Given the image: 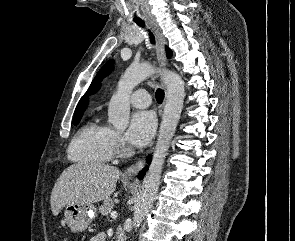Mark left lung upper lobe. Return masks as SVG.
<instances>
[{"instance_id":"left-lung-upper-lobe-1","label":"left lung upper lobe","mask_w":295,"mask_h":241,"mask_svg":"<svg viewBox=\"0 0 295 241\" xmlns=\"http://www.w3.org/2000/svg\"><path fill=\"white\" fill-rule=\"evenodd\" d=\"M167 57L170 58L172 56V52L169 48H166ZM114 66V60H109L97 73L96 77L92 81L88 92L89 93H95L97 92L101 87V81L102 79L113 69Z\"/></svg>"}]
</instances>
